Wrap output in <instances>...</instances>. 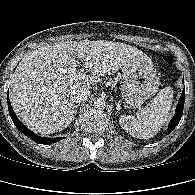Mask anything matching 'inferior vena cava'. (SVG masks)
Returning a JSON list of instances; mask_svg holds the SVG:
<instances>
[{
	"mask_svg": "<svg viewBox=\"0 0 195 195\" xmlns=\"http://www.w3.org/2000/svg\"><path fill=\"white\" fill-rule=\"evenodd\" d=\"M72 93L74 102L80 103L87 100L90 95V90L89 88L82 86L74 90Z\"/></svg>",
	"mask_w": 195,
	"mask_h": 195,
	"instance_id": "602c4592",
	"label": "inferior vena cava"
}]
</instances>
